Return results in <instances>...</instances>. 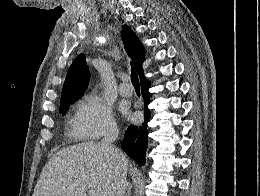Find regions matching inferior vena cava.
Here are the masks:
<instances>
[{"instance_id": "obj_1", "label": "inferior vena cava", "mask_w": 260, "mask_h": 196, "mask_svg": "<svg viewBox=\"0 0 260 196\" xmlns=\"http://www.w3.org/2000/svg\"><path fill=\"white\" fill-rule=\"evenodd\" d=\"M118 136V132H108L105 138H103V140L100 142L101 148H103L105 152H111L112 160L117 162V164H120L119 170L115 176L114 190L111 196H125V190L127 186L125 174L127 168L126 156H121V154L117 152L114 146V142L117 140Z\"/></svg>"}]
</instances>
